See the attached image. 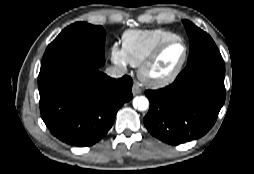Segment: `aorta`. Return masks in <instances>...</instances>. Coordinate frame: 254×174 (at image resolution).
<instances>
[{
	"label": "aorta",
	"mask_w": 254,
	"mask_h": 174,
	"mask_svg": "<svg viewBox=\"0 0 254 174\" xmlns=\"http://www.w3.org/2000/svg\"><path fill=\"white\" fill-rule=\"evenodd\" d=\"M133 106L139 111H145L149 107V101L145 96H139L133 100Z\"/></svg>",
	"instance_id": "aorta-1"
}]
</instances>
